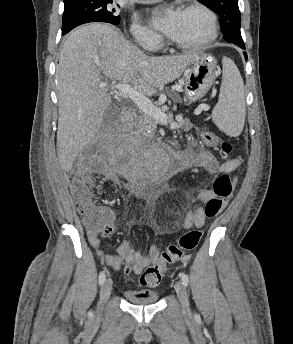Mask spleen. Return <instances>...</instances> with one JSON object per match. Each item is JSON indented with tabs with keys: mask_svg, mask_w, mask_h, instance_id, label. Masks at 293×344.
<instances>
[{
	"mask_svg": "<svg viewBox=\"0 0 293 344\" xmlns=\"http://www.w3.org/2000/svg\"><path fill=\"white\" fill-rule=\"evenodd\" d=\"M222 64L219 100L212 111V120L225 134L236 137L241 134L245 123L244 83L234 61L223 57Z\"/></svg>",
	"mask_w": 293,
	"mask_h": 344,
	"instance_id": "spleen-1",
	"label": "spleen"
}]
</instances>
